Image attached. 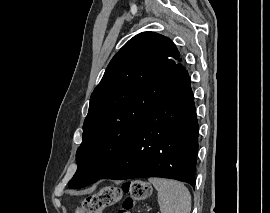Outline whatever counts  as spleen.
Returning a JSON list of instances; mask_svg holds the SVG:
<instances>
[{
    "instance_id": "spleen-1",
    "label": "spleen",
    "mask_w": 270,
    "mask_h": 213,
    "mask_svg": "<svg viewBox=\"0 0 270 213\" xmlns=\"http://www.w3.org/2000/svg\"><path fill=\"white\" fill-rule=\"evenodd\" d=\"M158 191L161 213H190L191 196L181 182L164 178H149Z\"/></svg>"
}]
</instances>
